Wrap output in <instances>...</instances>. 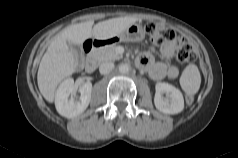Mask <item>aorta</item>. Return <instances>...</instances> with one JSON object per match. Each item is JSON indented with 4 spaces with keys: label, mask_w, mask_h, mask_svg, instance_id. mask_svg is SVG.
<instances>
[{
    "label": "aorta",
    "mask_w": 238,
    "mask_h": 158,
    "mask_svg": "<svg viewBox=\"0 0 238 158\" xmlns=\"http://www.w3.org/2000/svg\"><path fill=\"white\" fill-rule=\"evenodd\" d=\"M130 70V66L126 63H122L119 65V72L122 74L128 73Z\"/></svg>",
    "instance_id": "1"
}]
</instances>
